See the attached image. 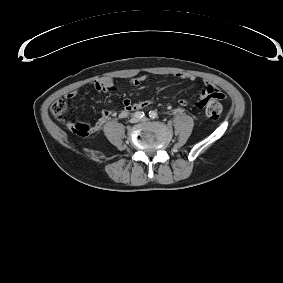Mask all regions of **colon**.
<instances>
[{"instance_id":"5ec220e1","label":"colon","mask_w":283,"mask_h":283,"mask_svg":"<svg viewBox=\"0 0 283 283\" xmlns=\"http://www.w3.org/2000/svg\"><path fill=\"white\" fill-rule=\"evenodd\" d=\"M217 99L210 103L206 109V115L211 120H217L222 115V104L221 101L225 99L224 94L219 92L216 94ZM51 112L54 117L58 120L66 119L68 112V105L64 99H58L53 102L51 105ZM73 131L80 135L86 136L89 135L92 131L91 125L86 123H74L72 127Z\"/></svg>"}]
</instances>
